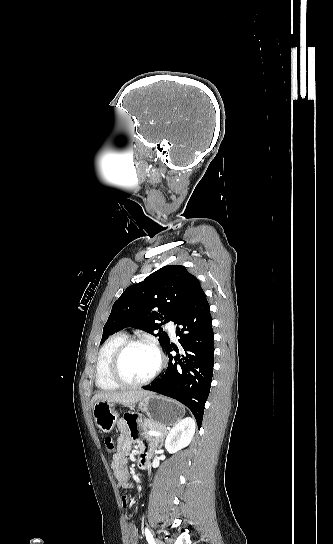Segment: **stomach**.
Wrapping results in <instances>:
<instances>
[{"mask_svg":"<svg viewBox=\"0 0 333 544\" xmlns=\"http://www.w3.org/2000/svg\"><path fill=\"white\" fill-rule=\"evenodd\" d=\"M138 406L149 416L151 421L162 426L176 424L185 413L181 404L155 394L143 397L138 402ZM93 416L97 427L104 433L111 432L119 419V414L115 410V403L108 401L95 402L93 404Z\"/></svg>","mask_w":333,"mask_h":544,"instance_id":"0dacf381","label":"stomach"}]
</instances>
